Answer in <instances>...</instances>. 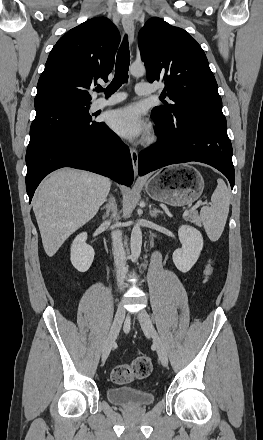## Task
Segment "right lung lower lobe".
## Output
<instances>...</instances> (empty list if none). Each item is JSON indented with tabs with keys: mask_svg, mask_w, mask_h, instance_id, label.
<instances>
[{
	"mask_svg": "<svg viewBox=\"0 0 263 440\" xmlns=\"http://www.w3.org/2000/svg\"><path fill=\"white\" fill-rule=\"evenodd\" d=\"M26 165L30 202L42 179L62 167L88 170L127 186L134 178L128 147L103 122L84 129L65 130L29 146Z\"/></svg>",
	"mask_w": 263,
	"mask_h": 440,
	"instance_id": "1",
	"label": "right lung lower lobe"
}]
</instances>
